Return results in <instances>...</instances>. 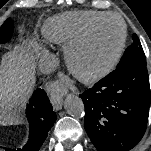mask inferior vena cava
Wrapping results in <instances>:
<instances>
[{"label": "inferior vena cava", "instance_id": "602c4592", "mask_svg": "<svg viewBox=\"0 0 151 151\" xmlns=\"http://www.w3.org/2000/svg\"><path fill=\"white\" fill-rule=\"evenodd\" d=\"M58 65H59V60L54 54H46L41 59L40 68L43 72L50 73L55 71ZM53 104H55L54 101Z\"/></svg>", "mask_w": 151, "mask_h": 151}]
</instances>
